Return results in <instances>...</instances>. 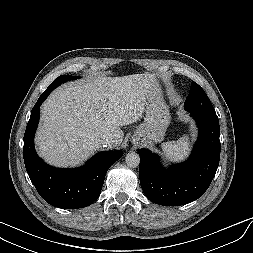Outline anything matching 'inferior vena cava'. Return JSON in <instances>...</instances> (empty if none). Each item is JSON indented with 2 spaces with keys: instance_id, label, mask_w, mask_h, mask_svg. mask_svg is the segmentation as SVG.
<instances>
[{
  "instance_id": "602c4592",
  "label": "inferior vena cava",
  "mask_w": 253,
  "mask_h": 253,
  "mask_svg": "<svg viewBox=\"0 0 253 253\" xmlns=\"http://www.w3.org/2000/svg\"><path fill=\"white\" fill-rule=\"evenodd\" d=\"M101 141H102L103 144H106V145L115 142L114 137L112 135H109V134L102 135Z\"/></svg>"
}]
</instances>
